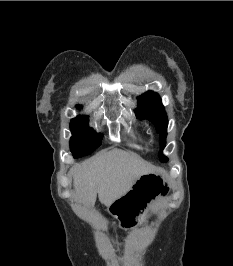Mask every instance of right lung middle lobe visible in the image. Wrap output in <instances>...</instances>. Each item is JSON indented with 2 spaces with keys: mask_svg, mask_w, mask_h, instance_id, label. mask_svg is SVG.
Returning <instances> with one entry per match:
<instances>
[{
  "mask_svg": "<svg viewBox=\"0 0 233 266\" xmlns=\"http://www.w3.org/2000/svg\"><path fill=\"white\" fill-rule=\"evenodd\" d=\"M87 116H78L71 120L70 129L73 134L70 149L75 158L85 156L101 145L103 135L97 134L88 126Z\"/></svg>",
  "mask_w": 233,
  "mask_h": 266,
  "instance_id": "1",
  "label": "right lung middle lobe"
}]
</instances>
